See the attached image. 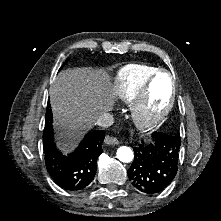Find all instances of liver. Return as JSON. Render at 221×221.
Returning <instances> with one entry per match:
<instances>
[{"label":"liver","mask_w":221,"mask_h":221,"mask_svg":"<svg viewBox=\"0 0 221 221\" xmlns=\"http://www.w3.org/2000/svg\"><path fill=\"white\" fill-rule=\"evenodd\" d=\"M49 95L58 139L67 149L112 110L115 89L106 70L81 67L59 72Z\"/></svg>","instance_id":"obj_1"}]
</instances>
